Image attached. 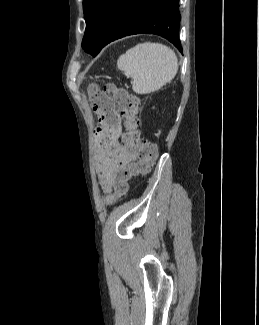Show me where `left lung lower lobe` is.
Segmentation results:
<instances>
[{
	"instance_id": "1",
	"label": "left lung lower lobe",
	"mask_w": 259,
	"mask_h": 325,
	"mask_svg": "<svg viewBox=\"0 0 259 325\" xmlns=\"http://www.w3.org/2000/svg\"><path fill=\"white\" fill-rule=\"evenodd\" d=\"M180 20L179 0H122L105 32L102 48L119 38L147 33L166 38L182 52Z\"/></svg>"
}]
</instances>
